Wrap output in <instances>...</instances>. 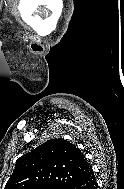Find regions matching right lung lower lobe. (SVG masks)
<instances>
[{"label":"right lung lower lobe","instance_id":"98d812e1","mask_svg":"<svg viewBox=\"0 0 124 189\" xmlns=\"http://www.w3.org/2000/svg\"><path fill=\"white\" fill-rule=\"evenodd\" d=\"M97 187L96 178L91 168L80 178L70 182L63 189H95Z\"/></svg>","mask_w":124,"mask_h":189}]
</instances>
